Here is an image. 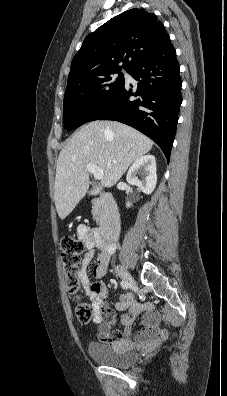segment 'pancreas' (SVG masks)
<instances>
[{
    "label": "pancreas",
    "instance_id": "1",
    "mask_svg": "<svg viewBox=\"0 0 227 396\" xmlns=\"http://www.w3.org/2000/svg\"><path fill=\"white\" fill-rule=\"evenodd\" d=\"M92 215H93V219L98 221L100 218V208L98 207V205L94 204V206L92 207Z\"/></svg>",
    "mask_w": 227,
    "mask_h": 396
}]
</instances>
